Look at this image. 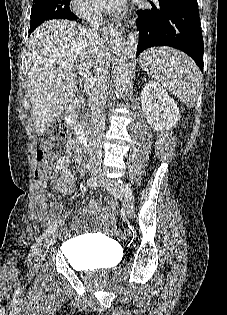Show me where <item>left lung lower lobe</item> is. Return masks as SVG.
<instances>
[{
	"mask_svg": "<svg viewBox=\"0 0 227 315\" xmlns=\"http://www.w3.org/2000/svg\"><path fill=\"white\" fill-rule=\"evenodd\" d=\"M148 1L153 9L137 11L136 57L150 47L171 46L192 57L203 72V37L197 0H158V6Z\"/></svg>",
	"mask_w": 227,
	"mask_h": 315,
	"instance_id": "0a47b994",
	"label": "left lung lower lobe"
}]
</instances>
